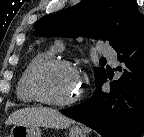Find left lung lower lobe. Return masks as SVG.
I'll return each mask as SVG.
<instances>
[{
  "label": "left lung lower lobe",
  "mask_w": 144,
  "mask_h": 137,
  "mask_svg": "<svg viewBox=\"0 0 144 137\" xmlns=\"http://www.w3.org/2000/svg\"><path fill=\"white\" fill-rule=\"evenodd\" d=\"M116 52L122 76L110 83V90L101 91L106 74L88 100L60 112L103 137H140L144 132V21Z\"/></svg>",
  "instance_id": "1"
}]
</instances>
